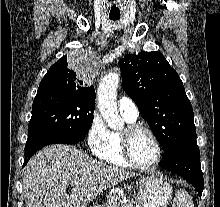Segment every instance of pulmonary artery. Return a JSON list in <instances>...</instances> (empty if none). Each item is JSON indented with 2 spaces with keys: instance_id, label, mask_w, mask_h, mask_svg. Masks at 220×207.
Instances as JSON below:
<instances>
[{
  "instance_id": "1",
  "label": "pulmonary artery",
  "mask_w": 220,
  "mask_h": 207,
  "mask_svg": "<svg viewBox=\"0 0 220 207\" xmlns=\"http://www.w3.org/2000/svg\"><path fill=\"white\" fill-rule=\"evenodd\" d=\"M118 108L122 115H125L134 120L138 117V108L134 101L129 97L122 96L118 100Z\"/></svg>"
}]
</instances>
